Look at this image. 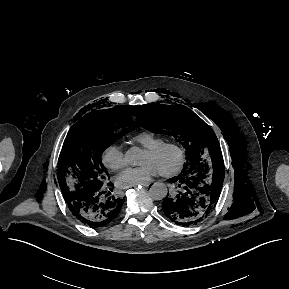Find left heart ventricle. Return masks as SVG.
I'll return each instance as SVG.
<instances>
[{"label": "left heart ventricle", "instance_id": "obj_1", "mask_svg": "<svg viewBox=\"0 0 289 289\" xmlns=\"http://www.w3.org/2000/svg\"><path fill=\"white\" fill-rule=\"evenodd\" d=\"M179 159L178 152L174 149H167L159 155H152L144 152L141 164H153L159 171H165L173 168Z\"/></svg>", "mask_w": 289, "mask_h": 289}]
</instances>
